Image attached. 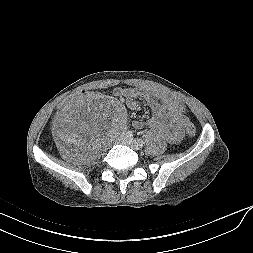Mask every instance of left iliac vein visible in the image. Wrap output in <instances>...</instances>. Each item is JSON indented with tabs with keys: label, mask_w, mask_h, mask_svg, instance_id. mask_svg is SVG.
<instances>
[{
	"label": "left iliac vein",
	"mask_w": 253,
	"mask_h": 253,
	"mask_svg": "<svg viewBox=\"0 0 253 253\" xmlns=\"http://www.w3.org/2000/svg\"><path fill=\"white\" fill-rule=\"evenodd\" d=\"M122 144H125L134 150H139V146L136 140L132 137H125L124 140L122 141Z\"/></svg>",
	"instance_id": "4c4485c4"
}]
</instances>
